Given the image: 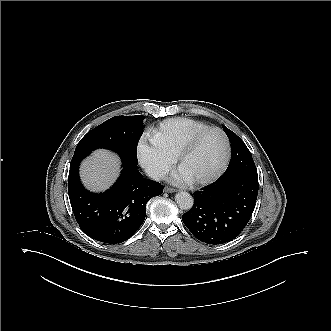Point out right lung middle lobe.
<instances>
[{
    "instance_id": "dd1d6c3e",
    "label": "right lung middle lobe",
    "mask_w": 331,
    "mask_h": 331,
    "mask_svg": "<svg viewBox=\"0 0 331 331\" xmlns=\"http://www.w3.org/2000/svg\"><path fill=\"white\" fill-rule=\"evenodd\" d=\"M142 115L115 116L89 131L78 143L71 162L82 160L97 148L117 152L122 162L137 167V144L143 132Z\"/></svg>"
}]
</instances>
